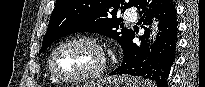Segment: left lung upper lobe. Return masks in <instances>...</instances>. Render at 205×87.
I'll return each mask as SVG.
<instances>
[{
	"instance_id": "obj_1",
	"label": "left lung upper lobe",
	"mask_w": 205,
	"mask_h": 87,
	"mask_svg": "<svg viewBox=\"0 0 205 87\" xmlns=\"http://www.w3.org/2000/svg\"><path fill=\"white\" fill-rule=\"evenodd\" d=\"M138 1L56 0L40 53L54 41L75 32H95L109 36L116 39L124 49L134 32L123 28L122 19L117 14L136 6Z\"/></svg>"
}]
</instances>
